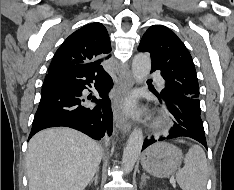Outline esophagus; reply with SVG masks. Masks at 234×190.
Instances as JSON below:
<instances>
[{
  "label": "esophagus",
  "instance_id": "34e87169",
  "mask_svg": "<svg viewBox=\"0 0 234 190\" xmlns=\"http://www.w3.org/2000/svg\"><path fill=\"white\" fill-rule=\"evenodd\" d=\"M134 85L133 78L130 73L121 77L120 87L116 99L114 100V119L117 127L123 134H127L131 130V122L122 110L121 103L123 99L131 92Z\"/></svg>",
  "mask_w": 234,
  "mask_h": 190
}]
</instances>
